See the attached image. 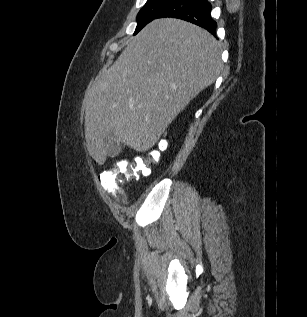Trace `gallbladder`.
Returning <instances> with one entry per match:
<instances>
[{"label": "gallbladder", "instance_id": "gallbladder-1", "mask_svg": "<svg viewBox=\"0 0 307 317\" xmlns=\"http://www.w3.org/2000/svg\"><path fill=\"white\" fill-rule=\"evenodd\" d=\"M106 141H108V143H109L108 156H110L112 158L118 156V154L121 151V145L119 144L118 141L113 140V133H110L107 136Z\"/></svg>", "mask_w": 307, "mask_h": 317}]
</instances>
